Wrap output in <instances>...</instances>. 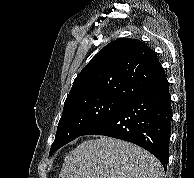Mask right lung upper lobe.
I'll return each instance as SVG.
<instances>
[{"mask_svg":"<svg viewBox=\"0 0 194 178\" xmlns=\"http://www.w3.org/2000/svg\"><path fill=\"white\" fill-rule=\"evenodd\" d=\"M168 83L155 52L136 39L107 44L75 78L65 104L84 98L129 100Z\"/></svg>","mask_w":194,"mask_h":178,"instance_id":"right-lung-upper-lobe-1","label":"right lung upper lobe"}]
</instances>
